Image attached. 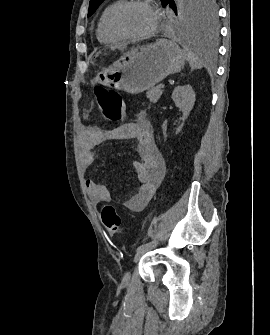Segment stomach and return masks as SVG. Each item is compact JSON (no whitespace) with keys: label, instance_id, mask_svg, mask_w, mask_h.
<instances>
[{"label":"stomach","instance_id":"stomach-1","mask_svg":"<svg viewBox=\"0 0 270 335\" xmlns=\"http://www.w3.org/2000/svg\"><path fill=\"white\" fill-rule=\"evenodd\" d=\"M185 56L176 42L160 38L155 44L125 52L111 68L99 72L95 82L113 90L140 94L153 88L169 74L181 72Z\"/></svg>","mask_w":270,"mask_h":335}]
</instances>
